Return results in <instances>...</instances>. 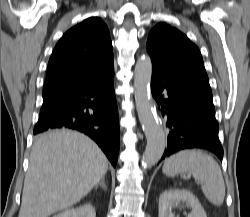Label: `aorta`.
I'll list each match as a JSON object with an SVG mask.
<instances>
[{"instance_id": "aorta-1", "label": "aorta", "mask_w": 250, "mask_h": 217, "mask_svg": "<svg viewBox=\"0 0 250 217\" xmlns=\"http://www.w3.org/2000/svg\"><path fill=\"white\" fill-rule=\"evenodd\" d=\"M151 75V58L148 55L139 57L134 70V95L138 117L147 139L146 149L141 160L144 168L157 164L166 146L164 129L149 93Z\"/></svg>"}]
</instances>
